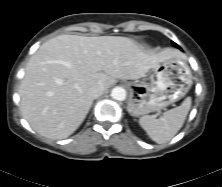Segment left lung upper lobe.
I'll return each instance as SVG.
<instances>
[{
	"label": "left lung upper lobe",
	"instance_id": "obj_1",
	"mask_svg": "<svg viewBox=\"0 0 222 187\" xmlns=\"http://www.w3.org/2000/svg\"><path fill=\"white\" fill-rule=\"evenodd\" d=\"M174 46L178 47L177 44L173 43Z\"/></svg>",
	"mask_w": 222,
	"mask_h": 187
}]
</instances>
